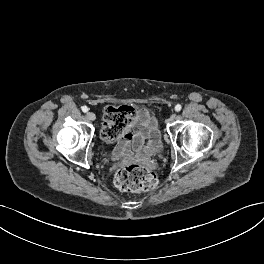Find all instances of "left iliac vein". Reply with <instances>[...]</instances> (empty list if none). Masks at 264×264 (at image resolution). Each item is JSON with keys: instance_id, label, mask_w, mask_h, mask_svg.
Returning a JSON list of instances; mask_svg holds the SVG:
<instances>
[{"instance_id": "obj_1", "label": "left iliac vein", "mask_w": 264, "mask_h": 264, "mask_svg": "<svg viewBox=\"0 0 264 264\" xmlns=\"http://www.w3.org/2000/svg\"><path fill=\"white\" fill-rule=\"evenodd\" d=\"M175 119H176V114L173 113V114L170 116V120L173 121V120H175Z\"/></svg>"}]
</instances>
